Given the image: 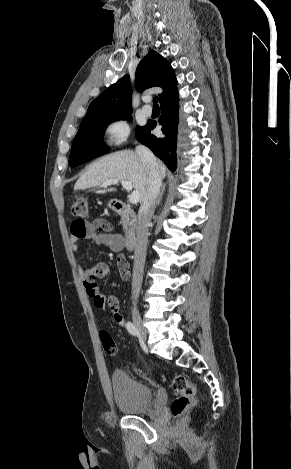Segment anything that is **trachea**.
<instances>
[{
  "mask_svg": "<svg viewBox=\"0 0 291 469\" xmlns=\"http://www.w3.org/2000/svg\"><path fill=\"white\" fill-rule=\"evenodd\" d=\"M153 106H154V107H159V106H158V97H154V98H153Z\"/></svg>",
  "mask_w": 291,
  "mask_h": 469,
  "instance_id": "obj_1",
  "label": "trachea"
}]
</instances>
